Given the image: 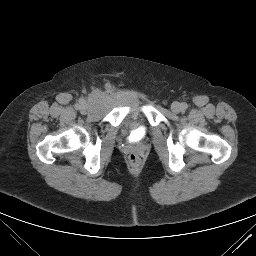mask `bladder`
Returning <instances> with one entry per match:
<instances>
[{
    "instance_id": "1",
    "label": "bladder",
    "mask_w": 256,
    "mask_h": 256,
    "mask_svg": "<svg viewBox=\"0 0 256 256\" xmlns=\"http://www.w3.org/2000/svg\"><path fill=\"white\" fill-rule=\"evenodd\" d=\"M105 100L106 101H110V100H113L114 97H111L110 95H106L105 97ZM119 102H121L122 104L128 106L130 108V113H128L122 123H121V126L123 128H126L129 132H133L135 131L136 132V136H137V139H140L142 138V136L144 135V132L142 129H140L138 126L135 125L134 121H133V110L134 108L136 107V103L134 101H131L129 99H126V98H121V99H117Z\"/></svg>"
}]
</instances>
